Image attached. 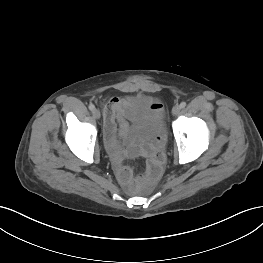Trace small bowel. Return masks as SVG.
<instances>
[{
  "instance_id": "1",
  "label": "small bowel",
  "mask_w": 263,
  "mask_h": 263,
  "mask_svg": "<svg viewBox=\"0 0 263 263\" xmlns=\"http://www.w3.org/2000/svg\"><path fill=\"white\" fill-rule=\"evenodd\" d=\"M129 103V98L115 96L110 98L104 106V133L107 150L111 156L117 178L125 186H129L133 178L132 169L124 163L126 159L144 156L148 158V165L152 162L163 163L164 161V153L161 150L163 137L161 135H156L153 141L146 146L124 148L121 145L119 138L126 132ZM151 105L159 115L162 114L163 105L161 102L153 100Z\"/></svg>"
}]
</instances>
